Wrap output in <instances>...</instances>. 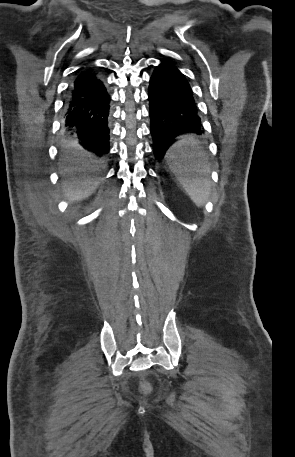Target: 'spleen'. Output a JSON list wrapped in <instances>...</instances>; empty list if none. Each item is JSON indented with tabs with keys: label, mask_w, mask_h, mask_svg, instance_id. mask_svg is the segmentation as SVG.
I'll list each match as a JSON object with an SVG mask.
<instances>
[{
	"label": "spleen",
	"mask_w": 295,
	"mask_h": 457,
	"mask_svg": "<svg viewBox=\"0 0 295 457\" xmlns=\"http://www.w3.org/2000/svg\"><path fill=\"white\" fill-rule=\"evenodd\" d=\"M171 170L176 174L191 200L201 207L208 200L211 186L202 176L205 156L193 135H185L166 155ZM199 173V174H198Z\"/></svg>",
	"instance_id": "obj_1"
}]
</instances>
